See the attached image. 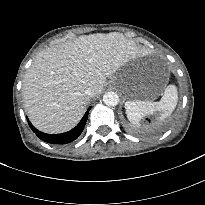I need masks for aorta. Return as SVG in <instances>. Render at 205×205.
Instances as JSON below:
<instances>
[{
    "label": "aorta",
    "instance_id": "obj_1",
    "mask_svg": "<svg viewBox=\"0 0 205 205\" xmlns=\"http://www.w3.org/2000/svg\"><path fill=\"white\" fill-rule=\"evenodd\" d=\"M103 102L106 106L114 107L119 103V97L115 92H106L103 95Z\"/></svg>",
    "mask_w": 205,
    "mask_h": 205
}]
</instances>
